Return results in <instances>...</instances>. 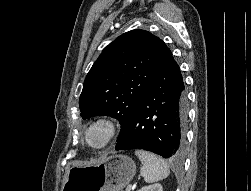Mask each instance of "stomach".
Instances as JSON below:
<instances>
[{
	"mask_svg": "<svg viewBox=\"0 0 251 191\" xmlns=\"http://www.w3.org/2000/svg\"><path fill=\"white\" fill-rule=\"evenodd\" d=\"M135 173L131 157L113 153L97 165L70 167L61 191H121Z\"/></svg>",
	"mask_w": 251,
	"mask_h": 191,
	"instance_id": "stomach-1",
	"label": "stomach"
}]
</instances>
